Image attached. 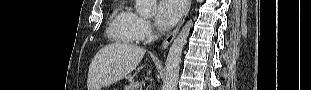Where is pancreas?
I'll list each match as a JSON object with an SVG mask.
<instances>
[{"instance_id": "1", "label": "pancreas", "mask_w": 311, "mask_h": 90, "mask_svg": "<svg viewBox=\"0 0 311 90\" xmlns=\"http://www.w3.org/2000/svg\"><path fill=\"white\" fill-rule=\"evenodd\" d=\"M140 83L139 82H131L128 86L125 87V90H139Z\"/></svg>"}]
</instances>
